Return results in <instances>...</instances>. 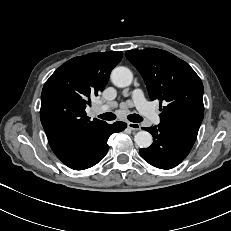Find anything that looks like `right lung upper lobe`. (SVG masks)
Here are the masks:
<instances>
[{
	"mask_svg": "<svg viewBox=\"0 0 231 231\" xmlns=\"http://www.w3.org/2000/svg\"><path fill=\"white\" fill-rule=\"evenodd\" d=\"M122 52L90 53L61 65L46 81L40 119L55 155L64 163L89 137L104 129V121L87 117L91 98L106 86Z\"/></svg>",
	"mask_w": 231,
	"mask_h": 231,
	"instance_id": "right-lung-upper-lobe-1",
	"label": "right lung upper lobe"
}]
</instances>
